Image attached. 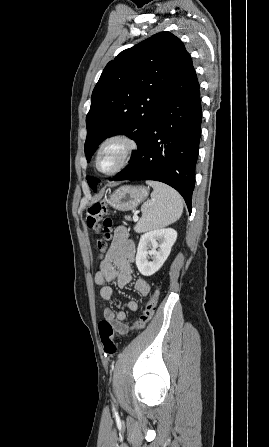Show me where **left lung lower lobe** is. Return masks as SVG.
<instances>
[{"label": "left lung lower lobe", "mask_w": 269, "mask_h": 447, "mask_svg": "<svg viewBox=\"0 0 269 447\" xmlns=\"http://www.w3.org/2000/svg\"><path fill=\"white\" fill-rule=\"evenodd\" d=\"M200 102L198 79L187 52L141 150L112 180L166 183L183 196L191 212L201 137Z\"/></svg>", "instance_id": "left-lung-lower-lobe-1"}]
</instances>
